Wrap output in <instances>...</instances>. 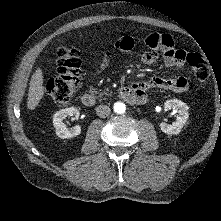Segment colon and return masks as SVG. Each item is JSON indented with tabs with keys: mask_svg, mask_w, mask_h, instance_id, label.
I'll list each match as a JSON object with an SVG mask.
<instances>
[{
	"mask_svg": "<svg viewBox=\"0 0 221 221\" xmlns=\"http://www.w3.org/2000/svg\"><path fill=\"white\" fill-rule=\"evenodd\" d=\"M57 75L45 85L46 94L58 105L67 104L75 94L81 75L80 52L73 46H60L56 51ZM195 79L204 85L209 78V69L198 53L186 55Z\"/></svg>",
	"mask_w": 221,
	"mask_h": 221,
	"instance_id": "5ec220e1",
	"label": "colon"
}]
</instances>
